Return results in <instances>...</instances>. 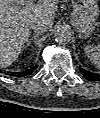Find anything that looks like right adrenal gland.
I'll use <instances>...</instances> for the list:
<instances>
[{
    "label": "right adrenal gland",
    "instance_id": "obj_1",
    "mask_svg": "<svg viewBox=\"0 0 100 118\" xmlns=\"http://www.w3.org/2000/svg\"><path fill=\"white\" fill-rule=\"evenodd\" d=\"M39 36H40L39 33H35V34H33L32 36H30V37L28 38V40H27V45H29V44L31 43V41H33V40H34V42H36V39H37Z\"/></svg>",
    "mask_w": 100,
    "mask_h": 118
}]
</instances>
